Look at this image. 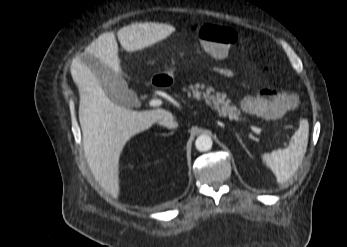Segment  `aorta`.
I'll return each instance as SVG.
<instances>
[{"label": "aorta", "mask_w": 347, "mask_h": 247, "mask_svg": "<svg viewBox=\"0 0 347 247\" xmlns=\"http://www.w3.org/2000/svg\"><path fill=\"white\" fill-rule=\"evenodd\" d=\"M212 139L208 135H200L195 142V147L200 152L209 151L212 148Z\"/></svg>", "instance_id": "762f6f07"}]
</instances>
